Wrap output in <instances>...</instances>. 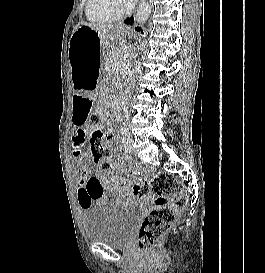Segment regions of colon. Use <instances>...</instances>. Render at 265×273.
<instances>
[{
	"label": "colon",
	"mask_w": 265,
	"mask_h": 273,
	"mask_svg": "<svg viewBox=\"0 0 265 273\" xmlns=\"http://www.w3.org/2000/svg\"><path fill=\"white\" fill-rule=\"evenodd\" d=\"M93 124L99 122L98 115L90 118ZM112 130L106 135L100 131H94L89 144L91 154L96 163L102 164L107 171L113 172V165L107 160L108 152L103 141H111ZM133 177L143 178L144 182L133 187V194L137 198H145L148 194L154 195V207L143 220L137 237L138 246L142 250H150L157 241L173 226L176 217L188 204L181 184L170 173L164 171H130Z\"/></svg>",
	"instance_id": "1"
}]
</instances>
